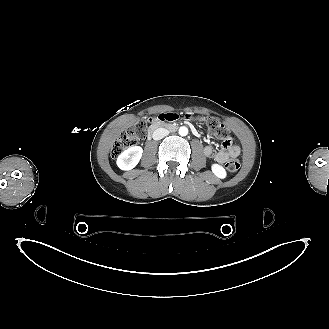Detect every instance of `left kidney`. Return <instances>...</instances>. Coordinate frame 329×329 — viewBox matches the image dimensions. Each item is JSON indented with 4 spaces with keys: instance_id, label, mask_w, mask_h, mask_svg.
Here are the masks:
<instances>
[{
    "instance_id": "1",
    "label": "left kidney",
    "mask_w": 329,
    "mask_h": 329,
    "mask_svg": "<svg viewBox=\"0 0 329 329\" xmlns=\"http://www.w3.org/2000/svg\"><path fill=\"white\" fill-rule=\"evenodd\" d=\"M211 169L214 175L220 179H224L227 175L225 169L219 164H212Z\"/></svg>"
}]
</instances>
